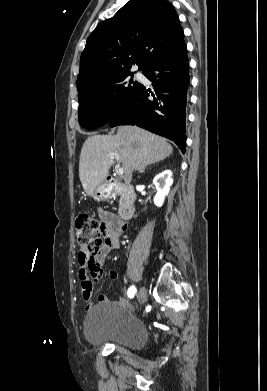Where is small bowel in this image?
<instances>
[{
    "label": "small bowel",
    "instance_id": "obj_1",
    "mask_svg": "<svg viewBox=\"0 0 267 391\" xmlns=\"http://www.w3.org/2000/svg\"><path fill=\"white\" fill-rule=\"evenodd\" d=\"M98 215L103 223L104 243L99 252L95 255L80 254L78 276L81 283L83 298L86 307L90 308L93 303L94 288L90 278L99 280L103 275V263L111 250L119 248V237L126 229V224L118 220L114 214L98 209ZM110 279H116L117 273H108ZM99 301L106 302V297L102 294L98 296Z\"/></svg>",
    "mask_w": 267,
    "mask_h": 391
}]
</instances>
